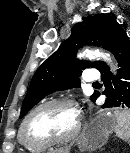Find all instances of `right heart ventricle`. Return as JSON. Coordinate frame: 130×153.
<instances>
[{
    "instance_id": "e07e8e85",
    "label": "right heart ventricle",
    "mask_w": 130,
    "mask_h": 153,
    "mask_svg": "<svg viewBox=\"0 0 130 153\" xmlns=\"http://www.w3.org/2000/svg\"><path fill=\"white\" fill-rule=\"evenodd\" d=\"M19 142H20V144H21L23 147H25L26 149L31 150V151H40V150L44 149V148L28 147V146L24 145L23 142H22L21 139H20V136H19Z\"/></svg>"
}]
</instances>
